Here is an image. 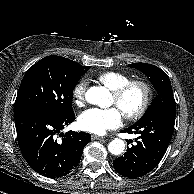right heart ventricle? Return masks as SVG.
Returning <instances> with one entry per match:
<instances>
[{
	"instance_id": "obj_1",
	"label": "right heart ventricle",
	"mask_w": 194,
	"mask_h": 194,
	"mask_svg": "<svg viewBox=\"0 0 194 194\" xmlns=\"http://www.w3.org/2000/svg\"><path fill=\"white\" fill-rule=\"evenodd\" d=\"M96 79L112 91L130 81L131 76L117 71H105L97 74Z\"/></svg>"
}]
</instances>
